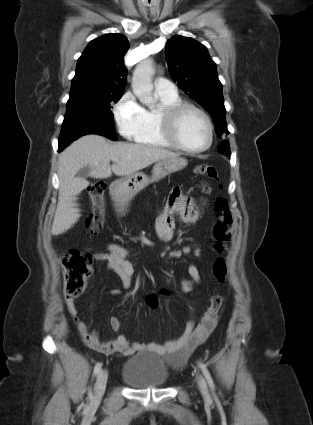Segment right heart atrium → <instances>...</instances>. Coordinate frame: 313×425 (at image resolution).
<instances>
[{
  "label": "right heart atrium",
  "instance_id": "obj_1",
  "mask_svg": "<svg viewBox=\"0 0 313 425\" xmlns=\"http://www.w3.org/2000/svg\"><path fill=\"white\" fill-rule=\"evenodd\" d=\"M113 114L119 132L128 139H136L147 127V110L131 92L119 99Z\"/></svg>",
  "mask_w": 313,
  "mask_h": 425
}]
</instances>
